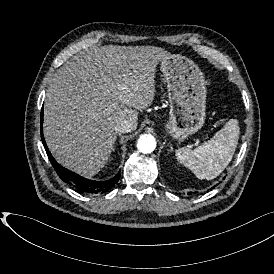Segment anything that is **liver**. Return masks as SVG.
Listing matches in <instances>:
<instances>
[{
  "instance_id": "liver-1",
  "label": "liver",
  "mask_w": 274,
  "mask_h": 274,
  "mask_svg": "<svg viewBox=\"0 0 274 274\" xmlns=\"http://www.w3.org/2000/svg\"><path fill=\"white\" fill-rule=\"evenodd\" d=\"M171 53L154 46L108 45L58 70L47 91L44 134L56 159L85 177L108 162L118 120L137 121L153 104L157 66Z\"/></svg>"
}]
</instances>
